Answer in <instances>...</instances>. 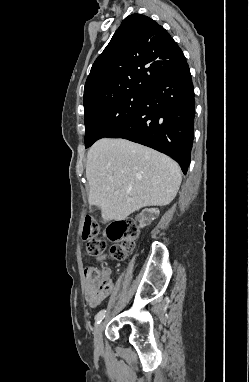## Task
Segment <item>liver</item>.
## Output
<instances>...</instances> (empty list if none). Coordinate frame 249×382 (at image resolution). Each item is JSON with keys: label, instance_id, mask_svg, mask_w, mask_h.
<instances>
[{"label": "liver", "instance_id": "1", "mask_svg": "<svg viewBox=\"0 0 249 382\" xmlns=\"http://www.w3.org/2000/svg\"><path fill=\"white\" fill-rule=\"evenodd\" d=\"M86 177L89 204L101 209L104 220H124L142 207L170 204L182 180L178 163L170 157L111 138L100 139L89 149Z\"/></svg>", "mask_w": 249, "mask_h": 382}]
</instances>
